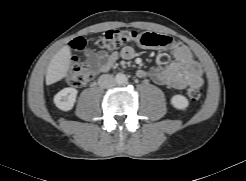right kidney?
Returning a JSON list of instances; mask_svg holds the SVG:
<instances>
[{
  "label": "right kidney",
  "instance_id": "ca27d5eb",
  "mask_svg": "<svg viewBox=\"0 0 246 181\" xmlns=\"http://www.w3.org/2000/svg\"><path fill=\"white\" fill-rule=\"evenodd\" d=\"M78 91L75 88H64L54 96L55 105L62 111L73 108Z\"/></svg>",
  "mask_w": 246,
  "mask_h": 181
}]
</instances>
